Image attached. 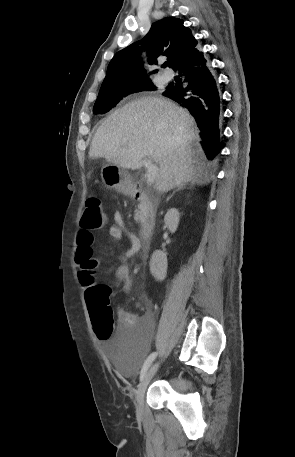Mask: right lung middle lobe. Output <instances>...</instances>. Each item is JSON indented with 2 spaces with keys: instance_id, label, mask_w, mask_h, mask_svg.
<instances>
[{
  "instance_id": "right-lung-middle-lobe-1",
  "label": "right lung middle lobe",
  "mask_w": 295,
  "mask_h": 457,
  "mask_svg": "<svg viewBox=\"0 0 295 457\" xmlns=\"http://www.w3.org/2000/svg\"><path fill=\"white\" fill-rule=\"evenodd\" d=\"M151 80L141 81L133 85H125L109 91H100L94 104V114H104L116 106L119 101L129 94L142 90H155Z\"/></svg>"
}]
</instances>
